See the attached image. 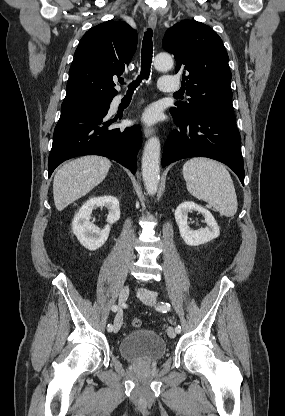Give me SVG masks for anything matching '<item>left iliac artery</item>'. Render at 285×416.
Returning <instances> with one entry per match:
<instances>
[{
    "instance_id": "44dca946",
    "label": "left iliac artery",
    "mask_w": 285,
    "mask_h": 416,
    "mask_svg": "<svg viewBox=\"0 0 285 416\" xmlns=\"http://www.w3.org/2000/svg\"><path fill=\"white\" fill-rule=\"evenodd\" d=\"M157 295V294H156ZM170 308H171V306H170V304L169 303H167V302H161L160 304H159V306L156 308L158 311H160V312H162V313H166L167 311H169L170 310ZM175 331L177 332V333H180L181 332V326H176V328H175Z\"/></svg>"
}]
</instances>
